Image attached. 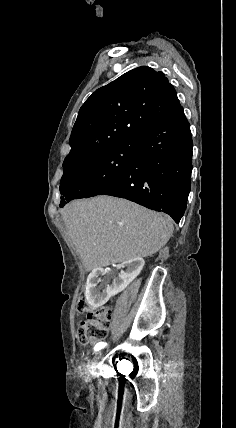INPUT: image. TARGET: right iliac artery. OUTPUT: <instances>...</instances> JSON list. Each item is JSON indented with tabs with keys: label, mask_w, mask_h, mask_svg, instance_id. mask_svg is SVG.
I'll return each mask as SVG.
<instances>
[{
	"label": "right iliac artery",
	"mask_w": 236,
	"mask_h": 428,
	"mask_svg": "<svg viewBox=\"0 0 236 428\" xmlns=\"http://www.w3.org/2000/svg\"><path fill=\"white\" fill-rule=\"evenodd\" d=\"M106 345H107V343L99 342L95 345L94 350L99 351V350L103 349Z\"/></svg>",
	"instance_id": "obj_1"
}]
</instances>
